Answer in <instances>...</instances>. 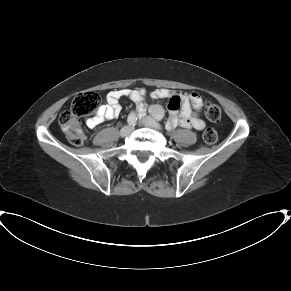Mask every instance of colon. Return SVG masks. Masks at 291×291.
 <instances>
[{"mask_svg":"<svg viewBox=\"0 0 291 291\" xmlns=\"http://www.w3.org/2000/svg\"><path fill=\"white\" fill-rule=\"evenodd\" d=\"M99 103V96L94 91L80 92L72 100L70 109L61 113L59 124L71 144L81 146L84 143L86 134L79 124V118L91 115ZM204 112L207 118L213 122L219 121L221 117L220 107L212 101L205 102ZM216 140L217 132L214 129L209 128L204 131V143L213 144Z\"/></svg>","mask_w":291,"mask_h":291,"instance_id":"5ec220e1","label":"colon"}]
</instances>
